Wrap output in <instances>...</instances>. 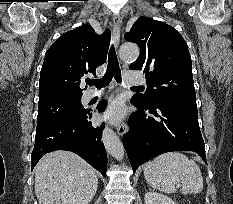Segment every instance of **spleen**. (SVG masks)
I'll use <instances>...</instances> for the list:
<instances>
[{
  "label": "spleen",
  "instance_id": "1",
  "mask_svg": "<svg viewBox=\"0 0 233 204\" xmlns=\"http://www.w3.org/2000/svg\"><path fill=\"white\" fill-rule=\"evenodd\" d=\"M147 183L154 189L175 193L181 185L182 194H197L203 190V177L199 166L179 152L156 157L144 167Z\"/></svg>",
  "mask_w": 233,
  "mask_h": 204
}]
</instances>
